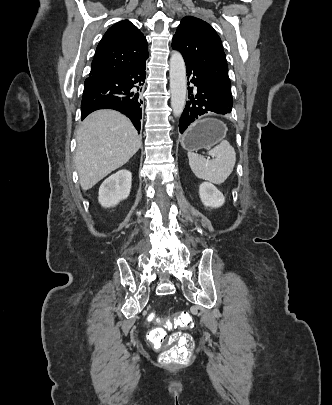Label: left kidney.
Instances as JSON below:
<instances>
[{
  "label": "left kidney",
  "mask_w": 332,
  "mask_h": 405,
  "mask_svg": "<svg viewBox=\"0 0 332 405\" xmlns=\"http://www.w3.org/2000/svg\"><path fill=\"white\" fill-rule=\"evenodd\" d=\"M202 203L206 207L219 208L225 202L223 194L212 184L204 182L199 186Z\"/></svg>",
  "instance_id": "1"
}]
</instances>
